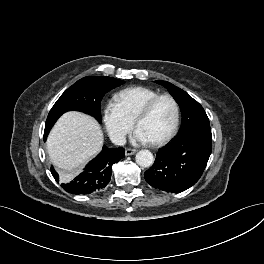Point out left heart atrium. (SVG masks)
Wrapping results in <instances>:
<instances>
[{
    "instance_id": "obj_1",
    "label": "left heart atrium",
    "mask_w": 264,
    "mask_h": 264,
    "mask_svg": "<svg viewBox=\"0 0 264 264\" xmlns=\"http://www.w3.org/2000/svg\"><path fill=\"white\" fill-rule=\"evenodd\" d=\"M132 141L134 143H148L150 142L149 138L139 129L137 128L133 135H132Z\"/></svg>"
}]
</instances>
